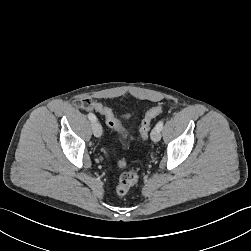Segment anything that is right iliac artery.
Here are the masks:
<instances>
[{
	"label": "right iliac artery",
	"mask_w": 251,
	"mask_h": 251,
	"mask_svg": "<svg viewBox=\"0 0 251 251\" xmlns=\"http://www.w3.org/2000/svg\"><path fill=\"white\" fill-rule=\"evenodd\" d=\"M88 118L89 120H91L92 122L96 121V116L93 113H89L88 114Z\"/></svg>",
	"instance_id": "obj_1"
}]
</instances>
